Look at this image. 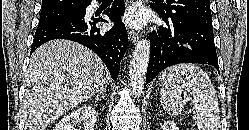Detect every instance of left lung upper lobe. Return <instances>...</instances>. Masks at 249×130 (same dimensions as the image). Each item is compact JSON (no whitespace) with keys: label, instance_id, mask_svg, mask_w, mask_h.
Returning <instances> with one entry per match:
<instances>
[{"label":"left lung upper lobe","instance_id":"left-lung-upper-lobe-1","mask_svg":"<svg viewBox=\"0 0 249 130\" xmlns=\"http://www.w3.org/2000/svg\"><path fill=\"white\" fill-rule=\"evenodd\" d=\"M154 10L166 18H179L212 27L209 0H167L152 3Z\"/></svg>","mask_w":249,"mask_h":130}]
</instances>
